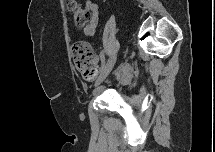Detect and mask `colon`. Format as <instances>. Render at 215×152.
<instances>
[{
	"label": "colon",
	"instance_id": "obj_1",
	"mask_svg": "<svg viewBox=\"0 0 215 152\" xmlns=\"http://www.w3.org/2000/svg\"><path fill=\"white\" fill-rule=\"evenodd\" d=\"M68 10L74 17L78 26L86 25L90 20V14L74 1L68 3ZM71 55L76 69L85 80H92L99 72L95 61L94 51L91 45L84 41L75 42L71 47Z\"/></svg>",
	"mask_w": 215,
	"mask_h": 152
}]
</instances>
